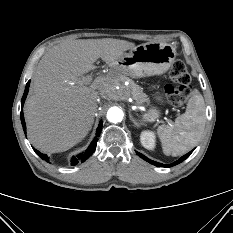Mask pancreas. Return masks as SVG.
I'll return each mask as SVG.
<instances>
[{"mask_svg": "<svg viewBox=\"0 0 233 233\" xmlns=\"http://www.w3.org/2000/svg\"><path fill=\"white\" fill-rule=\"evenodd\" d=\"M117 79L121 82L129 81L128 88L131 90V96L135 100V103L138 105L149 103V99L147 98V95L143 92V89L136 85L133 81L130 79H127L125 76L118 74Z\"/></svg>", "mask_w": 233, "mask_h": 233, "instance_id": "1", "label": "pancreas"}]
</instances>
